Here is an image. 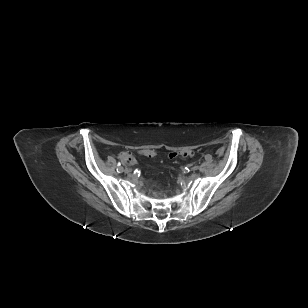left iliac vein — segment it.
<instances>
[{
    "label": "left iliac vein",
    "instance_id": "4c4485c4",
    "mask_svg": "<svg viewBox=\"0 0 308 308\" xmlns=\"http://www.w3.org/2000/svg\"><path fill=\"white\" fill-rule=\"evenodd\" d=\"M198 166H193L191 169L193 170V171H196V170H198Z\"/></svg>",
    "mask_w": 308,
    "mask_h": 308
}]
</instances>
